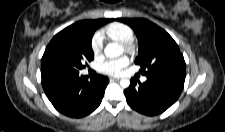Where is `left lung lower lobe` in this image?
Wrapping results in <instances>:
<instances>
[{"label":"left lung lower lobe","mask_w":225,"mask_h":132,"mask_svg":"<svg viewBox=\"0 0 225 132\" xmlns=\"http://www.w3.org/2000/svg\"><path fill=\"white\" fill-rule=\"evenodd\" d=\"M185 77L147 76V81L136 85L131 79L124 91L128 104L136 111L153 116L164 112L176 102L184 87Z\"/></svg>","instance_id":"1"}]
</instances>
